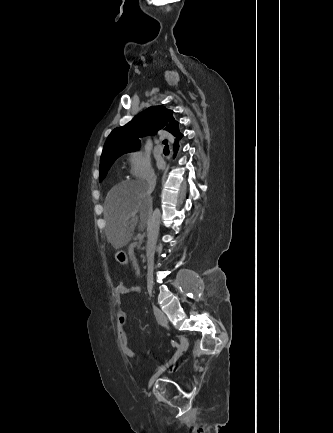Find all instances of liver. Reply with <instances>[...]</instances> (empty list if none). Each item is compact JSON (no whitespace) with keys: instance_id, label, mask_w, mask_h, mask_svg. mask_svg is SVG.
<instances>
[{"instance_id":"6515ba94","label":"liver","mask_w":333,"mask_h":433,"mask_svg":"<svg viewBox=\"0 0 333 433\" xmlns=\"http://www.w3.org/2000/svg\"><path fill=\"white\" fill-rule=\"evenodd\" d=\"M148 185L142 180H127L115 185L107 193L104 202L103 227L108 243L115 250L123 248L132 239L133 232L139 222V230H143V220L152 208V198ZM130 214L133 217L128 218Z\"/></svg>"}]
</instances>
